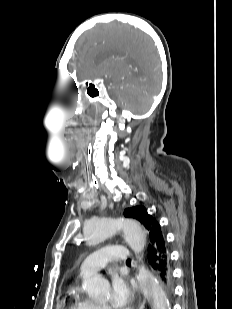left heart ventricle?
<instances>
[{
  "label": "left heart ventricle",
  "mask_w": 232,
  "mask_h": 309,
  "mask_svg": "<svg viewBox=\"0 0 232 309\" xmlns=\"http://www.w3.org/2000/svg\"><path fill=\"white\" fill-rule=\"evenodd\" d=\"M109 299H110V293L108 291L105 299L102 301V304H106L109 301Z\"/></svg>",
  "instance_id": "1"
}]
</instances>
